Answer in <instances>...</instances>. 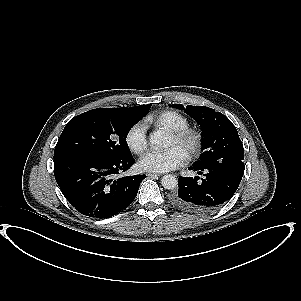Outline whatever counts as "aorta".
Instances as JSON below:
<instances>
[{
    "mask_svg": "<svg viewBox=\"0 0 301 301\" xmlns=\"http://www.w3.org/2000/svg\"><path fill=\"white\" fill-rule=\"evenodd\" d=\"M167 135H165L164 132L162 131H156L151 135V145L152 147H167L168 146V140H167ZM161 185L168 190H174L177 187V179L175 176L169 174V175H164L161 178Z\"/></svg>",
    "mask_w": 301,
    "mask_h": 301,
    "instance_id": "aorta-1",
    "label": "aorta"
}]
</instances>
